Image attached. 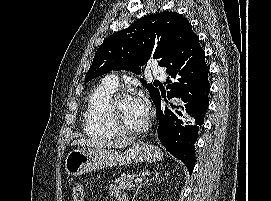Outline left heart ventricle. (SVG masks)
Wrapping results in <instances>:
<instances>
[{"mask_svg": "<svg viewBox=\"0 0 271 201\" xmlns=\"http://www.w3.org/2000/svg\"><path fill=\"white\" fill-rule=\"evenodd\" d=\"M116 113L120 120L130 127H139L146 120L137 112L132 98L121 100L116 106Z\"/></svg>", "mask_w": 271, "mask_h": 201, "instance_id": "obj_1", "label": "left heart ventricle"}]
</instances>
